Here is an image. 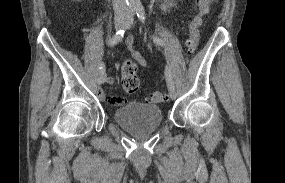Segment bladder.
<instances>
[{
	"label": "bladder",
	"instance_id": "obj_1",
	"mask_svg": "<svg viewBox=\"0 0 285 183\" xmlns=\"http://www.w3.org/2000/svg\"><path fill=\"white\" fill-rule=\"evenodd\" d=\"M117 124L126 129L139 132L158 128L162 125V109L159 106L129 102L114 112Z\"/></svg>",
	"mask_w": 285,
	"mask_h": 183
}]
</instances>
